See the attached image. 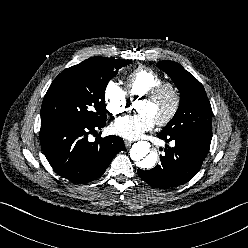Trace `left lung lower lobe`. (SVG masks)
Instances as JSON below:
<instances>
[{
    "label": "left lung lower lobe",
    "mask_w": 248,
    "mask_h": 248,
    "mask_svg": "<svg viewBox=\"0 0 248 248\" xmlns=\"http://www.w3.org/2000/svg\"><path fill=\"white\" fill-rule=\"evenodd\" d=\"M157 136L166 142L174 140L175 147L166 146L165 156H160L161 163L153 169H138L139 177L159 189H168L188 182L200 170L209 152L211 140L180 134L168 135L163 132Z\"/></svg>",
    "instance_id": "0a47b994"
}]
</instances>
